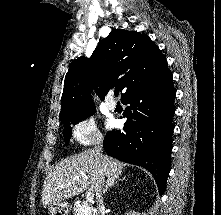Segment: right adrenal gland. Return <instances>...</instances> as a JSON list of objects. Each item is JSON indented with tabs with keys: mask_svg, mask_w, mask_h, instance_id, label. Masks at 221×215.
I'll return each instance as SVG.
<instances>
[{
	"mask_svg": "<svg viewBox=\"0 0 221 215\" xmlns=\"http://www.w3.org/2000/svg\"><path fill=\"white\" fill-rule=\"evenodd\" d=\"M125 178L126 177L122 178V180H124ZM118 181H121L120 175L109 177L106 182L103 193L105 194L107 192L108 188L111 186H114Z\"/></svg>",
	"mask_w": 221,
	"mask_h": 215,
	"instance_id": "right-adrenal-gland-1",
	"label": "right adrenal gland"
}]
</instances>
